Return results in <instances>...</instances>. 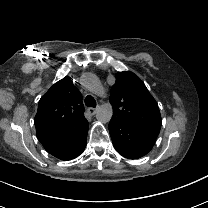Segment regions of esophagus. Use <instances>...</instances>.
Wrapping results in <instances>:
<instances>
[{
  "label": "esophagus",
  "instance_id": "obj_1",
  "mask_svg": "<svg viewBox=\"0 0 208 208\" xmlns=\"http://www.w3.org/2000/svg\"><path fill=\"white\" fill-rule=\"evenodd\" d=\"M99 110V107H90L87 109V113L90 115V116H93L97 113V111Z\"/></svg>",
  "mask_w": 208,
  "mask_h": 208
}]
</instances>
